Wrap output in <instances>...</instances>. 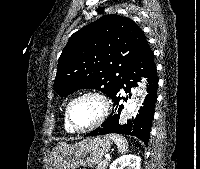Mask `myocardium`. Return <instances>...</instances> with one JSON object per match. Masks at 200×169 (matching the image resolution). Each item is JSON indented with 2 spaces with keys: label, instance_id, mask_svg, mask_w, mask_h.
Wrapping results in <instances>:
<instances>
[{
  "label": "myocardium",
  "instance_id": "f54148a6",
  "mask_svg": "<svg viewBox=\"0 0 200 169\" xmlns=\"http://www.w3.org/2000/svg\"><path fill=\"white\" fill-rule=\"evenodd\" d=\"M86 97H93V98L97 99L101 105V112H100V115L97 118V120L92 125H90L86 128H78L73 124V121L71 118V108L76 101H78L82 98H86ZM110 110H111V100L109 99V97L100 90L89 89V90L80 92L79 94L74 96L69 101V103L67 104V107H66L65 115H66V119H67L69 126L72 128V130L74 132L85 133V132H90V131L98 128L108 117Z\"/></svg>",
  "mask_w": 200,
  "mask_h": 169
}]
</instances>
